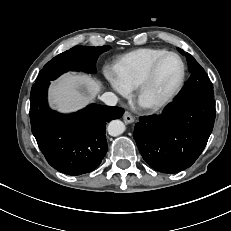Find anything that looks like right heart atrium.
<instances>
[{
  "label": "right heart atrium",
  "mask_w": 231,
  "mask_h": 231,
  "mask_svg": "<svg viewBox=\"0 0 231 231\" xmlns=\"http://www.w3.org/2000/svg\"><path fill=\"white\" fill-rule=\"evenodd\" d=\"M105 77L112 88L117 92L121 94H126L128 92V87L121 83L110 69L105 70Z\"/></svg>",
  "instance_id": "d8ad5b80"
}]
</instances>
